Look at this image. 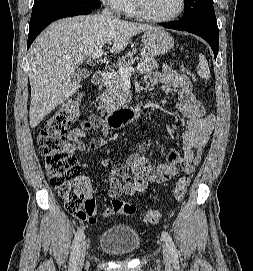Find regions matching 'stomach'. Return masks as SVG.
I'll use <instances>...</instances> for the list:
<instances>
[{"instance_id":"obj_1","label":"stomach","mask_w":253,"mask_h":271,"mask_svg":"<svg viewBox=\"0 0 253 271\" xmlns=\"http://www.w3.org/2000/svg\"><path fill=\"white\" fill-rule=\"evenodd\" d=\"M142 42L145 50L152 56L163 55L174 46L173 37L160 28L146 31L142 36Z\"/></svg>"}]
</instances>
